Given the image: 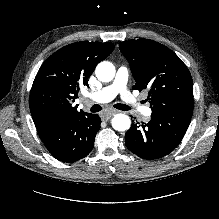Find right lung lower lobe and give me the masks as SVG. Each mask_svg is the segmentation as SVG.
<instances>
[{"label":"right lung lower lobe","instance_id":"98d812e1","mask_svg":"<svg viewBox=\"0 0 219 219\" xmlns=\"http://www.w3.org/2000/svg\"><path fill=\"white\" fill-rule=\"evenodd\" d=\"M98 115L80 112L36 126L46 148L60 161L75 162L87 156L100 129Z\"/></svg>","mask_w":219,"mask_h":219}]
</instances>
